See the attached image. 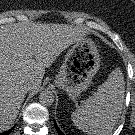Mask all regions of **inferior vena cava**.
Masks as SVG:
<instances>
[{"label": "inferior vena cava", "instance_id": "1", "mask_svg": "<svg viewBox=\"0 0 135 135\" xmlns=\"http://www.w3.org/2000/svg\"><path fill=\"white\" fill-rule=\"evenodd\" d=\"M31 89H32V87H31V85H29V84L25 87V90H26V91H30Z\"/></svg>", "mask_w": 135, "mask_h": 135}]
</instances>
